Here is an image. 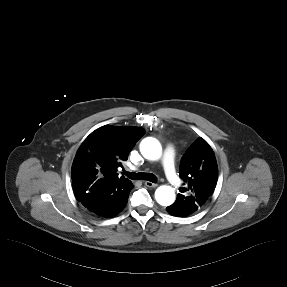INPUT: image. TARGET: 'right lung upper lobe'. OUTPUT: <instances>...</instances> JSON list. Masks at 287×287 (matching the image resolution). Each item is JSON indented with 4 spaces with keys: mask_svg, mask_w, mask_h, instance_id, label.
I'll list each match as a JSON object with an SVG mask.
<instances>
[{
    "mask_svg": "<svg viewBox=\"0 0 287 287\" xmlns=\"http://www.w3.org/2000/svg\"><path fill=\"white\" fill-rule=\"evenodd\" d=\"M145 134L139 127L105 125L92 132L78 149L72 165V184L76 199L81 202L94 183L122 181L118 176L121 161Z\"/></svg>",
    "mask_w": 287,
    "mask_h": 287,
    "instance_id": "1",
    "label": "right lung upper lobe"
}]
</instances>
